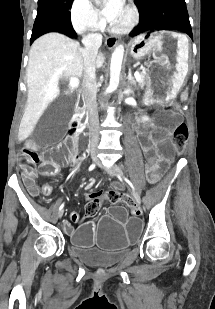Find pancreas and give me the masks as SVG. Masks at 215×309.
<instances>
[{"label": "pancreas", "instance_id": "cf45deb5", "mask_svg": "<svg viewBox=\"0 0 215 309\" xmlns=\"http://www.w3.org/2000/svg\"><path fill=\"white\" fill-rule=\"evenodd\" d=\"M139 70H141V68H139ZM139 74L141 76V80H137V82H138L139 86H144V84H146V80H147L146 72H142V70H141V72H139ZM134 84H136V80H135Z\"/></svg>", "mask_w": 215, "mask_h": 309}]
</instances>
